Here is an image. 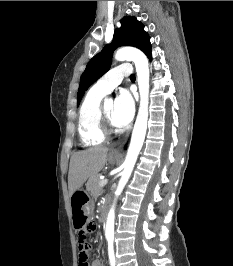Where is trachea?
<instances>
[{
    "label": "trachea",
    "instance_id": "1",
    "mask_svg": "<svg viewBox=\"0 0 233 266\" xmlns=\"http://www.w3.org/2000/svg\"><path fill=\"white\" fill-rule=\"evenodd\" d=\"M130 79H135V75L132 74V75L130 76Z\"/></svg>",
    "mask_w": 233,
    "mask_h": 266
}]
</instances>
